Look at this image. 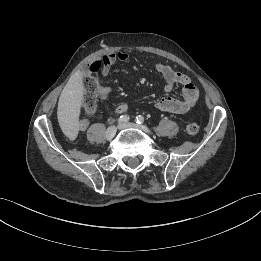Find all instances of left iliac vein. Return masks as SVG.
<instances>
[{"instance_id":"4c4485c4","label":"left iliac vein","mask_w":261,"mask_h":261,"mask_svg":"<svg viewBox=\"0 0 261 261\" xmlns=\"http://www.w3.org/2000/svg\"><path fill=\"white\" fill-rule=\"evenodd\" d=\"M126 128L139 129V130H141L143 132L150 133V130L145 125H139V124L132 123V122L121 124L119 126V129H126Z\"/></svg>"}]
</instances>
